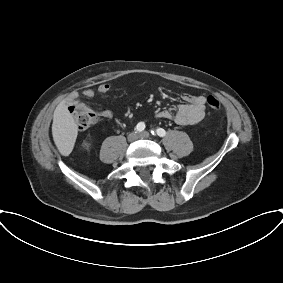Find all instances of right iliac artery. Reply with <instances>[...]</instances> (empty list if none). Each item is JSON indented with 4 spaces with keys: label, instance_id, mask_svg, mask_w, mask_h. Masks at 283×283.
<instances>
[{
    "label": "right iliac artery",
    "instance_id": "1",
    "mask_svg": "<svg viewBox=\"0 0 283 283\" xmlns=\"http://www.w3.org/2000/svg\"><path fill=\"white\" fill-rule=\"evenodd\" d=\"M144 129H145V124H144V122H139V123L137 124V126H136V130L139 131V132H141V131H143Z\"/></svg>",
    "mask_w": 283,
    "mask_h": 283
}]
</instances>
